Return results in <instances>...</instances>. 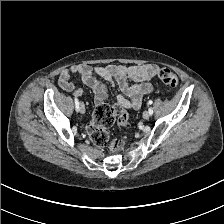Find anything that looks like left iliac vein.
<instances>
[{
  "mask_svg": "<svg viewBox=\"0 0 224 224\" xmlns=\"http://www.w3.org/2000/svg\"><path fill=\"white\" fill-rule=\"evenodd\" d=\"M149 117H150V113H149V111H145V112L143 113V118H144V119H149Z\"/></svg>",
  "mask_w": 224,
  "mask_h": 224,
  "instance_id": "4c4485c4",
  "label": "left iliac vein"
}]
</instances>
